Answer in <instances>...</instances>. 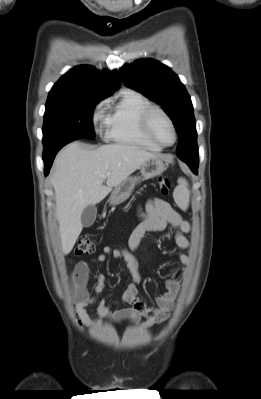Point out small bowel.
<instances>
[{
    "label": "small bowel",
    "instance_id": "c3829d8e",
    "mask_svg": "<svg viewBox=\"0 0 261 399\" xmlns=\"http://www.w3.org/2000/svg\"><path fill=\"white\" fill-rule=\"evenodd\" d=\"M139 224L133 230L129 238L131 251L137 250L143 237L149 232H156L171 226L174 229V242L179 250H189L190 241L186 237L189 232V224L183 220L180 214L167 201L160 198H151L138 210ZM125 262L132 275V281L127 285L120 300L113 303L129 304L130 308H121L112 311L107 301L102 299L96 307V313L100 318H108L114 322L129 321L140 323L143 328H149L164 322L170 315L179 293L185 283L187 268L190 265V256L181 251L176 252L180 264L173 266L171 274L165 280L166 292L156 298V306L150 307L139 297L138 285L140 276L138 272V260L135 255L125 249L105 246L103 252L95 256L91 262L78 261L70 274V287L73 292L78 313L86 325H93L94 320L87 314L86 307L96 302L97 297L105 290V276L99 274L92 293L87 289L92 263H103L107 257ZM143 319V320H142Z\"/></svg>",
    "mask_w": 261,
    "mask_h": 399
}]
</instances>
